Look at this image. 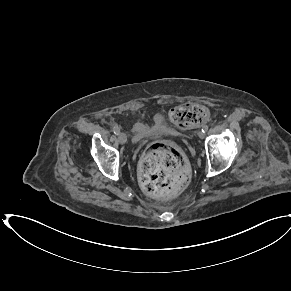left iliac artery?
Here are the masks:
<instances>
[{
  "label": "left iliac artery",
  "mask_w": 291,
  "mask_h": 291,
  "mask_svg": "<svg viewBox=\"0 0 291 291\" xmlns=\"http://www.w3.org/2000/svg\"><path fill=\"white\" fill-rule=\"evenodd\" d=\"M207 130H208V125H204L203 127H202V132H207Z\"/></svg>",
  "instance_id": "obj_1"
}]
</instances>
